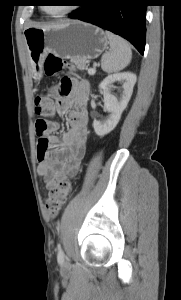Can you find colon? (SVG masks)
<instances>
[{
	"instance_id": "5ec220e1",
	"label": "colon",
	"mask_w": 181,
	"mask_h": 300,
	"mask_svg": "<svg viewBox=\"0 0 181 300\" xmlns=\"http://www.w3.org/2000/svg\"><path fill=\"white\" fill-rule=\"evenodd\" d=\"M72 68L73 66L71 63L60 57L49 55L43 65V74L44 76L51 78L58 75L63 70H71ZM35 112L44 117V119H40L36 122L38 140H44L48 132L47 122L55 116V106L49 95H42L36 99ZM72 190L73 185L70 180L60 181L59 184L50 191L49 196L45 201L47 212L52 216H56L68 200Z\"/></svg>"
}]
</instances>
